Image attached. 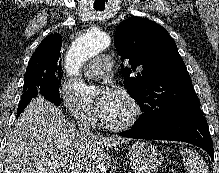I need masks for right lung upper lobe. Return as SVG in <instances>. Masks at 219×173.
Here are the masks:
<instances>
[{
	"label": "right lung upper lobe",
	"instance_id": "cb5924a9",
	"mask_svg": "<svg viewBox=\"0 0 219 173\" xmlns=\"http://www.w3.org/2000/svg\"><path fill=\"white\" fill-rule=\"evenodd\" d=\"M62 37L59 34L47 36L37 47L29 60V65L56 67L61 71ZM61 73H63L61 71Z\"/></svg>",
	"mask_w": 219,
	"mask_h": 173
}]
</instances>
